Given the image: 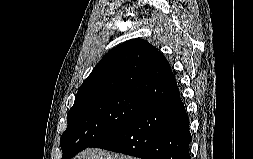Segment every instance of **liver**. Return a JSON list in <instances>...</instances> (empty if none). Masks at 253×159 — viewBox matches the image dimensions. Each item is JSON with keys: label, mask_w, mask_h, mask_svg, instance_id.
<instances>
[{"label": "liver", "mask_w": 253, "mask_h": 159, "mask_svg": "<svg viewBox=\"0 0 253 159\" xmlns=\"http://www.w3.org/2000/svg\"><path fill=\"white\" fill-rule=\"evenodd\" d=\"M74 159H137L132 156L112 153L99 148H87Z\"/></svg>", "instance_id": "obj_1"}]
</instances>
